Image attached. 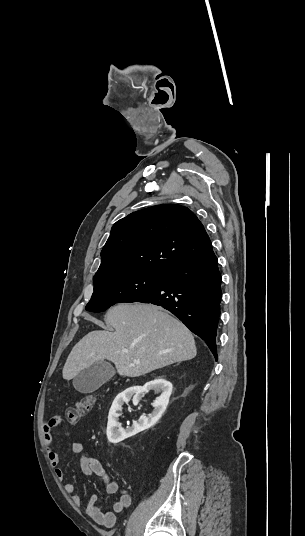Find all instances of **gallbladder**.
I'll use <instances>...</instances> for the list:
<instances>
[{"label": "gallbladder", "instance_id": "1", "mask_svg": "<svg viewBox=\"0 0 305 536\" xmlns=\"http://www.w3.org/2000/svg\"><path fill=\"white\" fill-rule=\"evenodd\" d=\"M115 370L108 362H94L73 378V386L81 394H91L113 378Z\"/></svg>", "mask_w": 305, "mask_h": 536}]
</instances>
